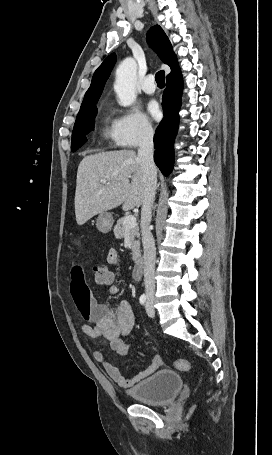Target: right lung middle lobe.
<instances>
[{
  "label": "right lung middle lobe",
  "instance_id": "obj_1",
  "mask_svg": "<svg viewBox=\"0 0 272 455\" xmlns=\"http://www.w3.org/2000/svg\"><path fill=\"white\" fill-rule=\"evenodd\" d=\"M96 113V103L80 108L73 128L71 151H76L87 142L86 135L94 129Z\"/></svg>",
  "mask_w": 272,
  "mask_h": 455
}]
</instances>
